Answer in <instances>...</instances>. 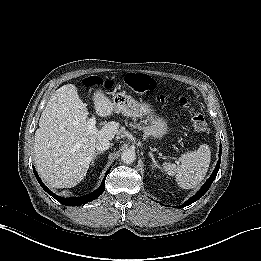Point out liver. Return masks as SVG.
Returning a JSON list of instances; mask_svg holds the SVG:
<instances>
[{
  "instance_id": "1",
  "label": "liver",
  "mask_w": 261,
  "mask_h": 261,
  "mask_svg": "<svg viewBox=\"0 0 261 261\" xmlns=\"http://www.w3.org/2000/svg\"><path fill=\"white\" fill-rule=\"evenodd\" d=\"M94 108L100 117L113 114L114 104L98 92ZM89 111L77 88L67 84L55 91L39 119L35 132L34 160L41 178L51 187H74L86 176L100 138L112 140L120 124L106 123L89 131Z\"/></svg>"
}]
</instances>
